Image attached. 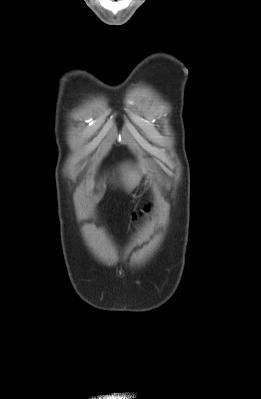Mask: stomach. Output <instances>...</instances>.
Segmentation results:
<instances>
[{
  "label": "stomach",
  "instance_id": "1",
  "mask_svg": "<svg viewBox=\"0 0 261 399\" xmlns=\"http://www.w3.org/2000/svg\"><path fill=\"white\" fill-rule=\"evenodd\" d=\"M148 179H149V174H148V173H146V174H145V177H144V181H143V182H144V183H146V182L148 181Z\"/></svg>",
  "mask_w": 261,
  "mask_h": 399
}]
</instances>
